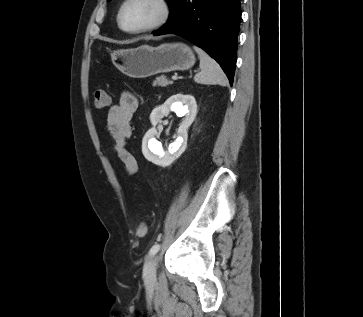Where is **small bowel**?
I'll return each mask as SVG.
<instances>
[{"mask_svg":"<svg viewBox=\"0 0 363 317\" xmlns=\"http://www.w3.org/2000/svg\"><path fill=\"white\" fill-rule=\"evenodd\" d=\"M139 106L138 98L131 92L125 91L119 101L109 108L107 129L113 140V151L128 174L138 170L135 157L127 149V140L132 135L131 122Z\"/></svg>","mask_w":363,"mask_h":317,"instance_id":"c3829d8e","label":"small bowel"}]
</instances>
